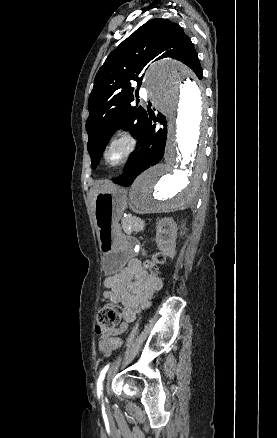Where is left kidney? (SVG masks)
Here are the masks:
<instances>
[{
  "label": "left kidney",
  "mask_w": 277,
  "mask_h": 438,
  "mask_svg": "<svg viewBox=\"0 0 277 438\" xmlns=\"http://www.w3.org/2000/svg\"><path fill=\"white\" fill-rule=\"evenodd\" d=\"M169 226V230H162L163 226ZM156 242L159 250L165 252L169 258H174L176 254V238H177V224L173 218H162L157 222L156 226ZM162 234H166L167 238L164 240Z\"/></svg>",
  "instance_id": "left-kidney-1"
}]
</instances>
